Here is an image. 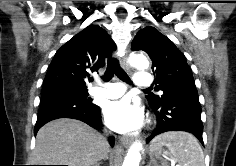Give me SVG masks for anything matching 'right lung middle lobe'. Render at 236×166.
Returning a JSON list of instances; mask_svg holds the SVG:
<instances>
[{
    "mask_svg": "<svg viewBox=\"0 0 236 166\" xmlns=\"http://www.w3.org/2000/svg\"><path fill=\"white\" fill-rule=\"evenodd\" d=\"M87 91V88L73 86H67L65 88H62V91L57 94H49L42 91L41 103L60 100L72 103H79L83 105H91L92 101L91 98L88 97L89 94Z\"/></svg>",
    "mask_w": 236,
    "mask_h": 166,
    "instance_id": "right-lung-middle-lobe-1",
    "label": "right lung middle lobe"
}]
</instances>
